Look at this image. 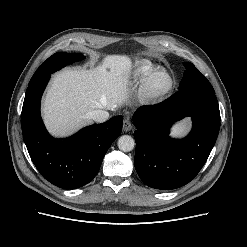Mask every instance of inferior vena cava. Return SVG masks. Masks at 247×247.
<instances>
[{"mask_svg": "<svg viewBox=\"0 0 247 247\" xmlns=\"http://www.w3.org/2000/svg\"><path fill=\"white\" fill-rule=\"evenodd\" d=\"M88 115L91 119L99 123L104 122L109 118V113L102 109H95L89 112Z\"/></svg>", "mask_w": 247, "mask_h": 247, "instance_id": "obj_1", "label": "inferior vena cava"}]
</instances>
